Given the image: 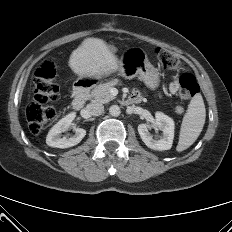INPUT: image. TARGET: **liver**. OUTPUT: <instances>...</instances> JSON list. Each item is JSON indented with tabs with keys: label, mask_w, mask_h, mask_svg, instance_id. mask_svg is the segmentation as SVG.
<instances>
[{
	"label": "liver",
	"mask_w": 232,
	"mask_h": 232,
	"mask_svg": "<svg viewBox=\"0 0 232 232\" xmlns=\"http://www.w3.org/2000/svg\"><path fill=\"white\" fill-rule=\"evenodd\" d=\"M69 67L79 75L99 79L118 70L119 61L109 49V45L99 38H86L72 51Z\"/></svg>",
	"instance_id": "1"
}]
</instances>
